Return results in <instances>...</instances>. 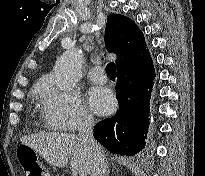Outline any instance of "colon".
I'll use <instances>...</instances> for the list:
<instances>
[{
    "label": "colon",
    "mask_w": 205,
    "mask_h": 176,
    "mask_svg": "<svg viewBox=\"0 0 205 176\" xmlns=\"http://www.w3.org/2000/svg\"><path fill=\"white\" fill-rule=\"evenodd\" d=\"M18 160L23 166L25 176H47L41 159L34 151L27 150L18 154Z\"/></svg>",
    "instance_id": "obj_1"
}]
</instances>
